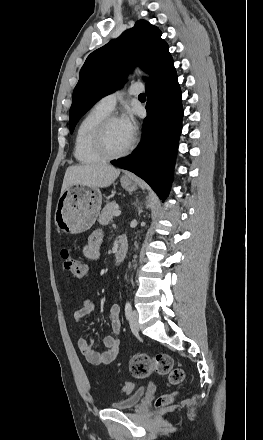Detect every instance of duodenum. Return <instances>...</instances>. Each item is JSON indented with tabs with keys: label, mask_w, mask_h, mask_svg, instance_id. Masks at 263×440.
<instances>
[{
	"label": "duodenum",
	"mask_w": 263,
	"mask_h": 440,
	"mask_svg": "<svg viewBox=\"0 0 263 440\" xmlns=\"http://www.w3.org/2000/svg\"><path fill=\"white\" fill-rule=\"evenodd\" d=\"M126 252H127V243L124 238H121L118 241V246L114 255L115 264H120L125 259Z\"/></svg>",
	"instance_id": "410a0bca"
}]
</instances>
